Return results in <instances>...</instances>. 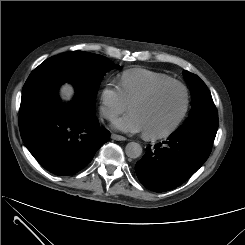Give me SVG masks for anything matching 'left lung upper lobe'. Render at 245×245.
Returning a JSON list of instances; mask_svg holds the SVG:
<instances>
[{"label":"left lung upper lobe","instance_id":"left-lung-upper-lobe-1","mask_svg":"<svg viewBox=\"0 0 245 245\" xmlns=\"http://www.w3.org/2000/svg\"><path fill=\"white\" fill-rule=\"evenodd\" d=\"M183 74L192 93V110L174 134L195 132L215 139L218 129V112L206 84L197 76L186 70Z\"/></svg>","mask_w":245,"mask_h":245}]
</instances>
